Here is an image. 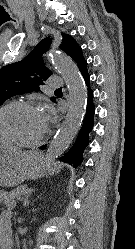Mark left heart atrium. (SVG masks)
Returning <instances> with one entry per match:
<instances>
[{
  "instance_id": "1",
  "label": "left heart atrium",
  "mask_w": 135,
  "mask_h": 249,
  "mask_svg": "<svg viewBox=\"0 0 135 249\" xmlns=\"http://www.w3.org/2000/svg\"><path fill=\"white\" fill-rule=\"evenodd\" d=\"M43 114V120L45 123V126L47 125V123L50 122V120L52 119V111L50 107H47L46 110L44 112H42Z\"/></svg>"
}]
</instances>
